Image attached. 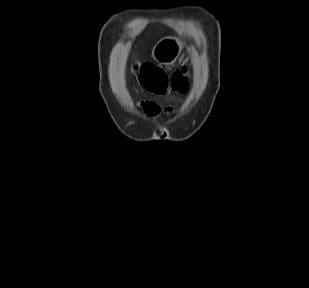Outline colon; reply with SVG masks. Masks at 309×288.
Returning a JSON list of instances; mask_svg holds the SVG:
<instances>
[{
    "instance_id": "colon-1",
    "label": "colon",
    "mask_w": 309,
    "mask_h": 288,
    "mask_svg": "<svg viewBox=\"0 0 309 288\" xmlns=\"http://www.w3.org/2000/svg\"><path fill=\"white\" fill-rule=\"evenodd\" d=\"M188 68L182 67L170 77L156 67L150 66L142 78L144 85L156 94H165L169 89L183 93L187 89Z\"/></svg>"
}]
</instances>
